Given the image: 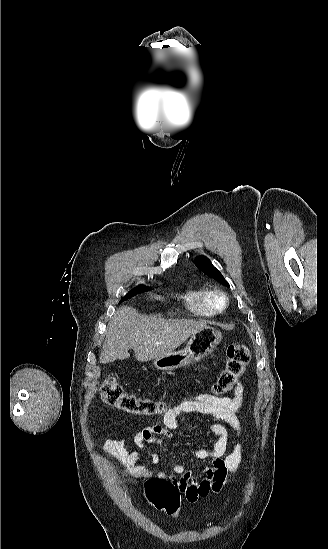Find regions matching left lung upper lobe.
Instances as JSON below:
<instances>
[{"label":"left lung upper lobe","mask_w":328,"mask_h":549,"mask_svg":"<svg viewBox=\"0 0 328 549\" xmlns=\"http://www.w3.org/2000/svg\"><path fill=\"white\" fill-rule=\"evenodd\" d=\"M195 263L205 274L216 279L222 284L229 286V283L224 279L219 270L212 265L208 258L200 256L196 258Z\"/></svg>","instance_id":"5c2ea615"}]
</instances>
